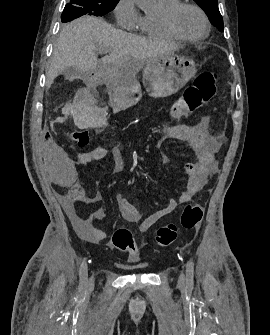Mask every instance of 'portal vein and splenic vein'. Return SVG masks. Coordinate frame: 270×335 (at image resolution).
I'll list each match as a JSON object with an SVG mask.
<instances>
[{
	"label": "portal vein and splenic vein",
	"mask_w": 270,
	"mask_h": 335,
	"mask_svg": "<svg viewBox=\"0 0 270 335\" xmlns=\"http://www.w3.org/2000/svg\"><path fill=\"white\" fill-rule=\"evenodd\" d=\"M99 54H107V50L102 49V52H99ZM103 64H107L106 60L103 62Z\"/></svg>",
	"instance_id": "1"
}]
</instances>
